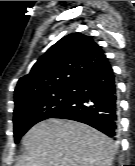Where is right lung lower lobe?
<instances>
[{
	"instance_id": "obj_1",
	"label": "right lung lower lobe",
	"mask_w": 135,
	"mask_h": 166,
	"mask_svg": "<svg viewBox=\"0 0 135 166\" xmlns=\"http://www.w3.org/2000/svg\"><path fill=\"white\" fill-rule=\"evenodd\" d=\"M69 106L51 118H62L88 124L111 138L118 134V99L115 75L109 62L77 81Z\"/></svg>"
}]
</instances>
